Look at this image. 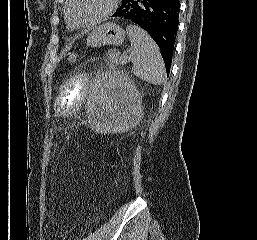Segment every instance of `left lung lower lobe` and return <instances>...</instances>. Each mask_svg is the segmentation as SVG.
<instances>
[{
    "mask_svg": "<svg viewBox=\"0 0 257 240\" xmlns=\"http://www.w3.org/2000/svg\"><path fill=\"white\" fill-rule=\"evenodd\" d=\"M179 12L180 0H122L112 16L127 19L151 35L161 50L169 75Z\"/></svg>",
    "mask_w": 257,
    "mask_h": 240,
    "instance_id": "0a47b994",
    "label": "left lung lower lobe"
}]
</instances>
